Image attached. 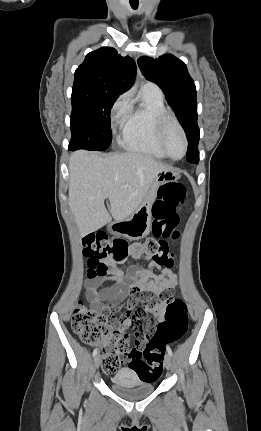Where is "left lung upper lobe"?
Returning <instances> with one entry per match:
<instances>
[{"label":"left lung upper lobe","instance_id":"1","mask_svg":"<svg viewBox=\"0 0 261 431\" xmlns=\"http://www.w3.org/2000/svg\"><path fill=\"white\" fill-rule=\"evenodd\" d=\"M138 65L146 79L156 83L166 95L188 138L187 161L198 163L200 131L197 125L196 87L186 65L171 54L157 59L142 56Z\"/></svg>","mask_w":261,"mask_h":431}]
</instances>
